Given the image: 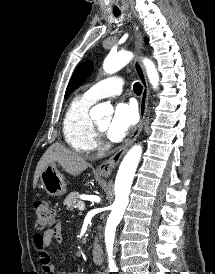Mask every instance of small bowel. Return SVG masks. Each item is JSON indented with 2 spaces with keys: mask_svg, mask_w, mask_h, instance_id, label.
I'll return each instance as SVG.
<instances>
[{
  "mask_svg": "<svg viewBox=\"0 0 215 274\" xmlns=\"http://www.w3.org/2000/svg\"><path fill=\"white\" fill-rule=\"evenodd\" d=\"M55 239L58 243L62 242V228L61 224H56L53 228H50L44 232L36 233L34 235V246L36 254L39 260L42 271L45 274H51L54 272L51 260L46 248L50 245L51 241ZM56 274H81L78 272H57ZM94 274H104L101 271H97Z\"/></svg>",
  "mask_w": 215,
  "mask_h": 274,
  "instance_id": "c3829d8e",
  "label": "small bowel"
}]
</instances>
